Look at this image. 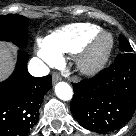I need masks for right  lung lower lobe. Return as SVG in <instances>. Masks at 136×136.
Segmentation results:
<instances>
[{"label":"right lung lower lobe","instance_id":"obj_1","mask_svg":"<svg viewBox=\"0 0 136 136\" xmlns=\"http://www.w3.org/2000/svg\"><path fill=\"white\" fill-rule=\"evenodd\" d=\"M27 61V52L19 50L13 74L0 83V136L26 135L37 123L39 106L52 88L51 76H31Z\"/></svg>","mask_w":136,"mask_h":136}]
</instances>
